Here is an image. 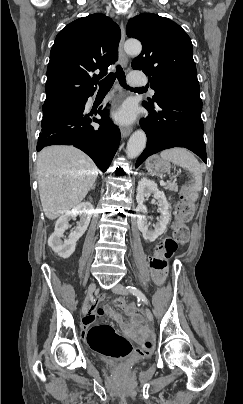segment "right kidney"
<instances>
[{
	"label": "right kidney",
	"instance_id": "ca27d5eb",
	"mask_svg": "<svg viewBox=\"0 0 243 404\" xmlns=\"http://www.w3.org/2000/svg\"><path fill=\"white\" fill-rule=\"evenodd\" d=\"M91 210V204L83 202V204H78V206L70 210V212H65L64 216H60L59 220H57L54 234L48 238V246H50L53 252L58 254L60 258H70L71 254L75 252L79 238L83 236L89 226L92 216ZM76 216H79L80 222H77L76 228H73L68 238H65V230L69 228L68 222H70L71 218H76Z\"/></svg>",
	"mask_w": 243,
	"mask_h": 404
}]
</instances>
